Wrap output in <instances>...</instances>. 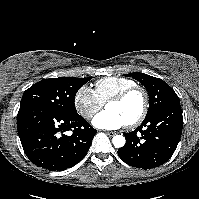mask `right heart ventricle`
Segmentation results:
<instances>
[{
    "label": "right heart ventricle",
    "mask_w": 199,
    "mask_h": 199,
    "mask_svg": "<svg viewBox=\"0 0 199 199\" xmlns=\"http://www.w3.org/2000/svg\"><path fill=\"white\" fill-rule=\"evenodd\" d=\"M134 85L136 83L131 79L111 76L98 80L95 83L94 92L99 100L105 104L122 90Z\"/></svg>",
    "instance_id": "right-heart-ventricle-1"
}]
</instances>
